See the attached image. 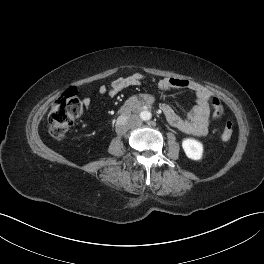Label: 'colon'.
Segmentation results:
<instances>
[{"mask_svg":"<svg viewBox=\"0 0 264 264\" xmlns=\"http://www.w3.org/2000/svg\"><path fill=\"white\" fill-rule=\"evenodd\" d=\"M212 118L217 119L223 114V106L216 96L210 97ZM82 107L74 89L63 92L53 103L48 115V128L53 138L63 140L73 122L81 114ZM233 135V123L227 121L221 138L229 141Z\"/></svg>","mask_w":264,"mask_h":264,"instance_id":"1","label":"colon"}]
</instances>
